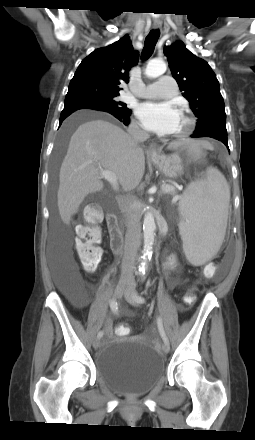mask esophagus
<instances>
[{"instance_id": "34e87169", "label": "esophagus", "mask_w": 255, "mask_h": 440, "mask_svg": "<svg viewBox=\"0 0 255 440\" xmlns=\"http://www.w3.org/2000/svg\"><path fill=\"white\" fill-rule=\"evenodd\" d=\"M161 26H162L161 22H154L153 23V29H155V30L160 29ZM148 153L152 157H157L159 155L157 147H156L155 144L152 143V144L149 145Z\"/></svg>"}]
</instances>
